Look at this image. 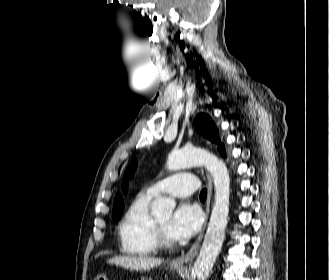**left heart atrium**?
I'll list each match as a JSON object with an SVG mask.
<instances>
[{
    "label": "left heart atrium",
    "mask_w": 329,
    "mask_h": 280,
    "mask_svg": "<svg viewBox=\"0 0 329 280\" xmlns=\"http://www.w3.org/2000/svg\"><path fill=\"white\" fill-rule=\"evenodd\" d=\"M202 221L201 210L196 205L183 202L170 218L167 233L172 240H187L199 231Z\"/></svg>",
    "instance_id": "39dd6f15"
}]
</instances>
